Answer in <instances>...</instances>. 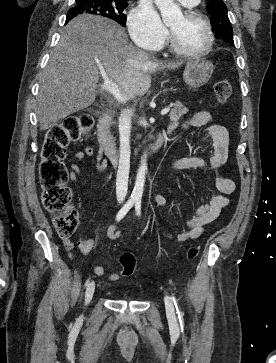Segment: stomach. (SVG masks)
Returning a JSON list of instances; mask_svg holds the SVG:
<instances>
[{"label": "stomach", "instance_id": "stomach-1", "mask_svg": "<svg viewBox=\"0 0 276 363\" xmlns=\"http://www.w3.org/2000/svg\"><path fill=\"white\" fill-rule=\"evenodd\" d=\"M213 70V64L209 61H189L185 67L183 79L187 85L196 89L208 83Z\"/></svg>", "mask_w": 276, "mask_h": 363}]
</instances>
